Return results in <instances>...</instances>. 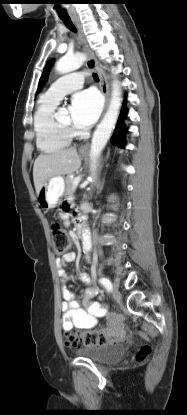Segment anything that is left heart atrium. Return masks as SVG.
Returning <instances> with one entry per match:
<instances>
[{"mask_svg": "<svg viewBox=\"0 0 187 415\" xmlns=\"http://www.w3.org/2000/svg\"><path fill=\"white\" fill-rule=\"evenodd\" d=\"M101 106V98L93 89L74 94L69 107L72 124L77 128L90 127L97 120Z\"/></svg>", "mask_w": 187, "mask_h": 415, "instance_id": "1", "label": "left heart atrium"}]
</instances>
